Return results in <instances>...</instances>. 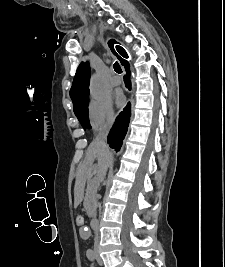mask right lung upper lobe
Returning <instances> with one entry per match:
<instances>
[{
  "mask_svg": "<svg viewBox=\"0 0 225 267\" xmlns=\"http://www.w3.org/2000/svg\"><path fill=\"white\" fill-rule=\"evenodd\" d=\"M125 66L128 65L124 63ZM89 79H90V67L89 63H81L76 71L73 84L70 90V96L74 105H77L84 98L89 96Z\"/></svg>",
  "mask_w": 225,
  "mask_h": 267,
  "instance_id": "obj_1",
  "label": "right lung upper lobe"
}]
</instances>
